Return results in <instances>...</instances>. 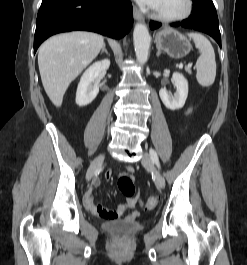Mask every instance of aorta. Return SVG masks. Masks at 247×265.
Returning a JSON list of instances; mask_svg holds the SVG:
<instances>
[{"label":"aorta","instance_id":"1","mask_svg":"<svg viewBox=\"0 0 247 265\" xmlns=\"http://www.w3.org/2000/svg\"><path fill=\"white\" fill-rule=\"evenodd\" d=\"M134 48L139 63L144 64L148 60L150 48V35L147 26L137 23L133 32Z\"/></svg>","mask_w":247,"mask_h":265}]
</instances>
